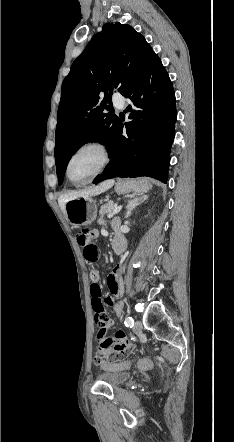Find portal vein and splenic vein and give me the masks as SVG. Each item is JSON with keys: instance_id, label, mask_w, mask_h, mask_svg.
<instances>
[{"instance_id": "1", "label": "portal vein and splenic vein", "mask_w": 234, "mask_h": 442, "mask_svg": "<svg viewBox=\"0 0 234 442\" xmlns=\"http://www.w3.org/2000/svg\"><path fill=\"white\" fill-rule=\"evenodd\" d=\"M122 209V206H117L114 208V210L108 214V218L113 217L115 214H118L120 210Z\"/></svg>"}]
</instances>
